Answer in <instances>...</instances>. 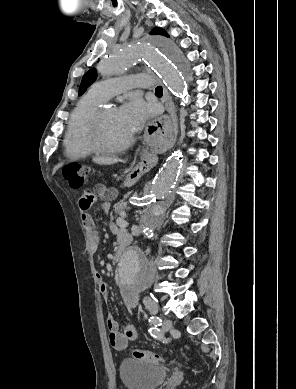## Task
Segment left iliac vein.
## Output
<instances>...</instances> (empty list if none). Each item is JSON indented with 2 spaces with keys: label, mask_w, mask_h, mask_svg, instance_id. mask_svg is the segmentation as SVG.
Listing matches in <instances>:
<instances>
[{
  "label": "left iliac vein",
  "mask_w": 296,
  "mask_h": 389,
  "mask_svg": "<svg viewBox=\"0 0 296 389\" xmlns=\"http://www.w3.org/2000/svg\"><path fill=\"white\" fill-rule=\"evenodd\" d=\"M172 327V321L169 319H164L162 329L164 332L170 330Z\"/></svg>",
  "instance_id": "obj_1"
}]
</instances>
